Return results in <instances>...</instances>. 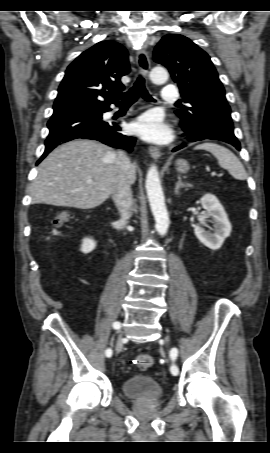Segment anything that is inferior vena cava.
<instances>
[{"label": "inferior vena cava", "instance_id": "obj_1", "mask_svg": "<svg viewBox=\"0 0 270 453\" xmlns=\"http://www.w3.org/2000/svg\"><path fill=\"white\" fill-rule=\"evenodd\" d=\"M115 180L112 189L113 201L120 213V223L124 228L133 213V198L130 184L132 164L122 151L114 155Z\"/></svg>", "mask_w": 270, "mask_h": 453}]
</instances>
